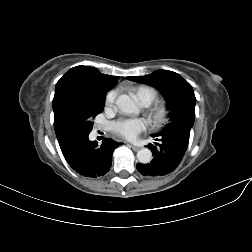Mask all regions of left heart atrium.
<instances>
[{
    "instance_id": "39dd6f15",
    "label": "left heart atrium",
    "mask_w": 252,
    "mask_h": 252,
    "mask_svg": "<svg viewBox=\"0 0 252 252\" xmlns=\"http://www.w3.org/2000/svg\"><path fill=\"white\" fill-rule=\"evenodd\" d=\"M146 129V121L142 118L121 119L112 125L113 132L127 140H134Z\"/></svg>"
}]
</instances>
